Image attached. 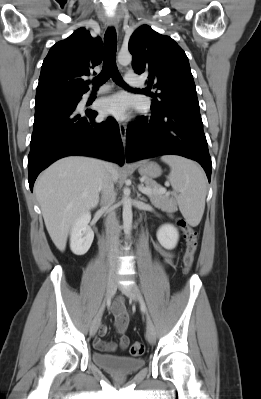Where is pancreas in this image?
I'll return each instance as SVG.
<instances>
[{"mask_svg": "<svg viewBox=\"0 0 261 399\" xmlns=\"http://www.w3.org/2000/svg\"><path fill=\"white\" fill-rule=\"evenodd\" d=\"M146 187L151 190V194H148L151 202L157 207H163L164 205H175V201L169 198V194L161 192L162 187L150 178L145 179Z\"/></svg>", "mask_w": 261, "mask_h": 399, "instance_id": "cf45deb5", "label": "pancreas"}]
</instances>
